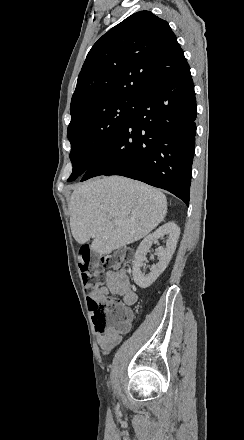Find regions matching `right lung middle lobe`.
<instances>
[{"label":"right lung middle lobe","instance_id":"dd1d6c3e","mask_svg":"<svg viewBox=\"0 0 244 440\" xmlns=\"http://www.w3.org/2000/svg\"><path fill=\"white\" fill-rule=\"evenodd\" d=\"M140 98L113 97L70 110L67 136L71 143L73 172L68 181L83 175L102 151L124 129Z\"/></svg>","mask_w":244,"mask_h":440}]
</instances>
